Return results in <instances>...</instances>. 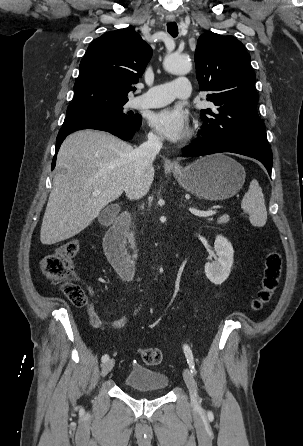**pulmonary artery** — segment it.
<instances>
[{
	"label": "pulmonary artery",
	"mask_w": 303,
	"mask_h": 446,
	"mask_svg": "<svg viewBox=\"0 0 303 446\" xmlns=\"http://www.w3.org/2000/svg\"><path fill=\"white\" fill-rule=\"evenodd\" d=\"M191 94V85L187 78L179 77L175 80L149 88L145 93L132 101L136 108L160 107L175 99H187Z\"/></svg>",
	"instance_id": "pulmonary-artery-1"
}]
</instances>
